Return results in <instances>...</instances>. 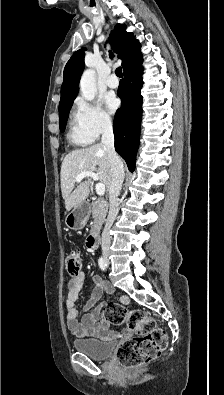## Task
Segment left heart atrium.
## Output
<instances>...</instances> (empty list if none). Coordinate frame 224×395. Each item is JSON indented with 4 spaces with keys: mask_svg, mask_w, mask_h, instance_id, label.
Wrapping results in <instances>:
<instances>
[{
    "mask_svg": "<svg viewBox=\"0 0 224 395\" xmlns=\"http://www.w3.org/2000/svg\"><path fill=\"white\" fill-rule=\"evenodd\" d=\"M105 106L109 113H114L119 107V101L113 95H108L105 98Z\"/></svg>",
    "mask_w": 224,
    "mask_h": 395,
    "instance_id": "39dd6f15",
    "label": "left heart atrium"
}]
</instances>
